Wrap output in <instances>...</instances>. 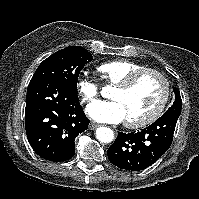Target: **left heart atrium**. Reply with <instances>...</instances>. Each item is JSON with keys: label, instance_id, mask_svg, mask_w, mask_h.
Here are the masks:
<instances>
[{"label": "left heart atrium", "instance_id": "39dd6f15", "mask_svg": "<svg viewBox=\"0 0 199 199\" xmlns=\"http://www.w3.org/2000/svg\"><path fill=\"white\" fill-rule=\"evenodd\" d=\"M88 115L98 122L119 123L125 120L123 106L117 100L96 101L87 107Z\"/></svg>", "mask_w": 199, "mask_h": 199}]
</instances>
